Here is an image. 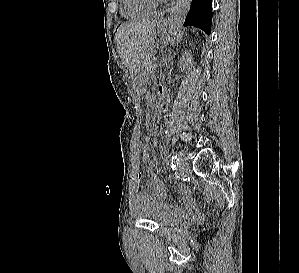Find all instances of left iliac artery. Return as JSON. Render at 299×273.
<instances>
[{
    "label": "left iliac artery",
    "instance_id": "1",
    "mask_svg": "<svg viewBox=\"0 0 299 273\" xmlns=\"http://www.w3.org/2000/svg\"><path fill=\"white\" fill-rule=\"evenodd\" d=\"M178 162H179L178 156L177 155L173 156L172 157V161H171V167H172V169H174L178 165Z\"/></svg>",
    "mask_w": 299,
    "mask_h": 273
}]
</instances>
